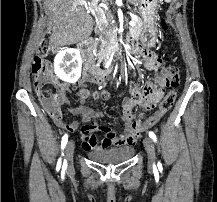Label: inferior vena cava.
<instances>
[{
    "instance_id": "1",
    "label": "inferior vena cava",
    "mask_w": 217,
    "mask_h": 202,
    "mask_svg": "<svg viewBox=\"0 0 217 202\" xmlns=\"http://www.w3.org/2000/svg\"><path fill=\"white\" fill-rule=\"evenodd\" d=\"M105 2H106V0H105ZM102 34H103V36H106L105 32H102Z\"/></svg>"
}]
</instances>
